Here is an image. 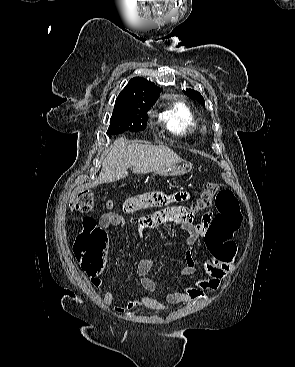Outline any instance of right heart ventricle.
I'll return each mask as SVG.
<instances>
[{"instance_id":"1","label":"right heart ventricle","mask_w":295,"mask_h":367,"mask_svg":"<svg viewBox=\"0 0 295 367\" xmlns=\"http://www.w3.org/2000/svg\"><path fill=\"white\" fill-rule=\"evenodd\" d=\"M159 121L167 130L177 135L194 132L200 120L184 103H176L159 115Z\"/></svg>"}]
</instances>
